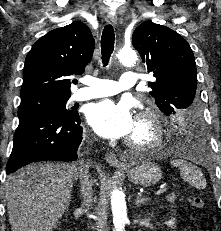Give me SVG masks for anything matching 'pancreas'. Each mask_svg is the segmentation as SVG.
Returning <instances> with one entry per match:
<instances>
[{"mask_svg": "<svg viewBox=\"0 0 221 231\" xmlns=\"http://www.w3.org/2000/svg\"><path fill=\"white\" fill-rule=\"evenodd\" d=\"M175 198H176V195L174 193H172L166 197V199L172 204L175 202Z\"/></svg>", "mask_w": 221, "mask_h": 231, "instance_id": "obj_1", "label": "pancreas"}]
</instances>
